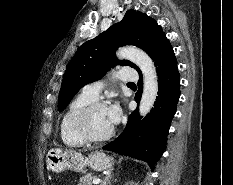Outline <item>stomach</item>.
Instances as JSON below:
<instances>
[{
    "mask_svg": "<svg viewBox=\"0 0 233 185\" xmlns=\"http://www.w3.org/2000/svg\"><path fill=\"white\" fill-rule=\"evenodd\" d=\"M46 163L48 170L56 173L67 169L84 172L88 166L93 170L102 171L111 169L114 159L101 151L91 152L88 156H83L73 150L62 151L53 148L47 154Z\"/></svg>",
    "mask_w": 233,
    "mask_h": 185,
    "instance_id": "1",
    "label": "stomach"
}]
</instances>
